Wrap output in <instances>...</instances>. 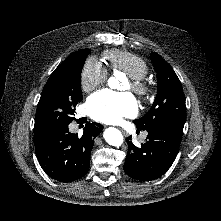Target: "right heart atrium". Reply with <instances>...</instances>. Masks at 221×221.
<instances>
[{
  "label": "right heart atrium",
  "instance_id": "obj_1",
  "mask_svg": "<svg viewBox=\"0 0 221 221\" xmlns=\"http://www.w3.org/2000/svg\"><path fill=\"white\" fill-rule=\"evenodd\" d=\"M108 78L105 66L96 58H88L80 72V86L84 92H91L103 85Z\"/></svg>",
  "mask_w": 221,
  "mask_h": 221
}]
</instances>
